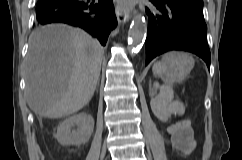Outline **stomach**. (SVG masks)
I'll use <instances>...</instances> for the list:
<instances>
[{
    "mask_svg": "<svg viewBox=\"0 0 242 160\" xmlns=\"http://www.w3.org/2000/svg\"><path fill=\"white\" fill-rule=\"evenodd\" d=\"M173 57L167 61V69L160 75L164 80L180 82L185 79L194 65L193 58L184 52H171Z\"/></svg>",
    "mask_w": 242,
    "mask_h": 160,
    "instance_id": "1",
    "label": "stomach"
}]
</instances>
